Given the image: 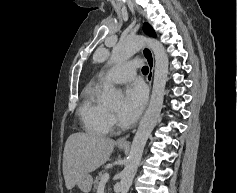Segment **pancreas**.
<instances>
[{
    "label": "pancreas",
    "mask_w": 237,
    "mask_h": 193,
    "mask_svg": "<svg viewBox=\"0 0 237 193\" xmlns=\"http://www.w3.org/2000/svg\"><path fill=\"white\" fill-rule=\"evenodd\" d=\"M105 171H101L99 173V175L96 177L95 181H94V188H97V186L99 185L102 176L104 175Z\"/></svg>",
    "instance_id": "cf45deb5"
}]
</instances>
